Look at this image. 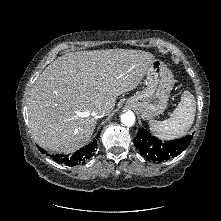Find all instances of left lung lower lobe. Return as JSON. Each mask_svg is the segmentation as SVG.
<instances>
[{
    "mask_svg": "<svg viewBox=\"0 0 221 221\" xmlns=\"http://www.w3.org/2000/svg\"><path fill=\"white\" fill-rule=\"evenodd\" d=\"M191 140L192 136L187 135L181 139L162 142L147 130L140 128L133 142L143 157L149 160L163 161L179 155L188 147Z\"/></svg>",
    "mask_w": 221,
    "mask_h": 221,
    "instance_id": "left-lung-lower-lobe-1",
    "label": "left lung lower lobe"
}]
</instances>
